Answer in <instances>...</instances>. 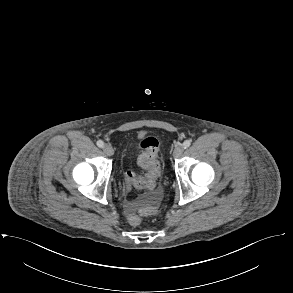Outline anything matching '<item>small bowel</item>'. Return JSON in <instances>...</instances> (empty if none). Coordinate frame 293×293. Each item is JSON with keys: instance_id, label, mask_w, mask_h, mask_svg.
<instances>
[{"instance_id": "c3829d8e", "label": "small bowel", "mask_w": 293, "mask_h": 293, "mask_svg": "<svg viewBox=\"0 0 293 293\" xmlns=\"http://www.w3.org/2000/svg\"><path fill=\"white\" fill-rule=\"evenodd\" d=\"M132 186L142 187V186H145V185L143 183H141V182H137V183H135L133 185L128 184V188H130ZM124 208H125V212H126L127 215L134 214L135 209H136V202L134 200L127 199L125 201V203H124Z\"/></svg>"}]
</instances>
